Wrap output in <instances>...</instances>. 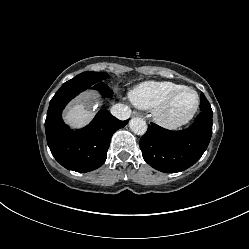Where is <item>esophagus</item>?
<instances>
[{
    "label": "esophagus",
    "instance_id": "esophagus-1",
    "mask_svg": "<svg viewBox=\"0 0 249 249\" xmlns=\"http://www.w3.org/2000/svg\"><path fill=\"white\" fill-rule=\"evenodd\" d=\"M133 116H141V114L138 113V112H136V111H134V112H133Z\"/></svg>",
    "mask_w": 249,
    "mask_h": 249
}]
</instances>
